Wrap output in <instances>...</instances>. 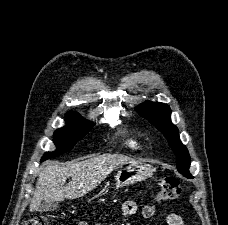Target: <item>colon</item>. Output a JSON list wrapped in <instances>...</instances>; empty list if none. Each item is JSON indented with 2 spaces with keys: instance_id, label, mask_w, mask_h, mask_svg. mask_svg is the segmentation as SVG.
<instances>
[{
  "instance_id": "obj_1",
  "label": "colon",
  "mask_w": 228,
  "mask_h": 225,
  "mask_svg": "<svg viewBox=\"0 0 228 225\" xmlns=\"http://www.w3.org/2000/svg\"><path fill=\"white\" fill-rule=\"evenodd\" d=\"M181 194L180 182L173 177L163 178L160 182L158 196L161 201H171L177 199ZM46 218L35 216L27 221L25 225H48Z\"/></svg>"
}]
</instances>
